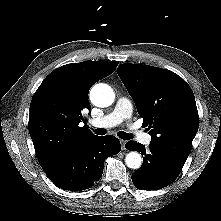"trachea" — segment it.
I'll return each mask as SVG.
<instances>
[{
	"instance_id": "trachea-1",
	"label": "trachea",
	"mask_w": 221,
	"mask_h": 221,
	"mask_svg": "<svg viewBox=\"0 0 221 221\" xmlns=\"http://www.w3.org/2000/svg\"><path fill=\"white\" fill-rule=\"evenodd\" d=\"M95 134L97 135H105L106 133V130L103 129V128H98V129H95L94 130ZM118 136L121 138V139H124V140H129L131 139L133 136L129 133H126L124 131H120L118 132Z\"/></svg>"
}]
</instances>
